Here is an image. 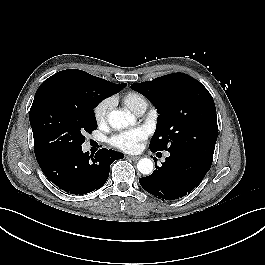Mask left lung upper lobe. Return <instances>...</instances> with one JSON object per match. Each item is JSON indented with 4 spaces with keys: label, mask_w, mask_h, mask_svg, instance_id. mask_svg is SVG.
Wrapping results in <instances>:
<instances>
[{
    "label": "left lung upper lobe",
    "mask_w": 265,
    "mask_h": 265,
    "mask_svg": "<svg viewBox=\"0 0 265 265\" xmlns=\"http://www.w3.org/2000/svg\"><path fill=\"white\" fill-rule=\"evenodd\" d=\"M131 88L147 97L159 113L150 150L190 154L212 163L218 137L214 100L197 80L175 73Z\"/></svg>",
    "instance_id": "5c2ea615"
}]
</instances>
